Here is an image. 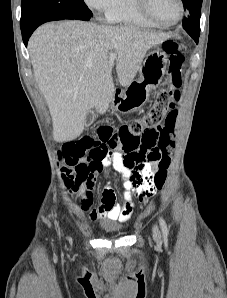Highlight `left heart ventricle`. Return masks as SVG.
<instances>
[{"instance_id": "left-heart-ventricle-1", "label": "left heart ventricle", "mask_w": 227, "mask_h": 298, "mask_svg": "<svg viewBox=\"0 0 227 298\" xmlns=\"http://www.w3.org/2000/svg\"><path fill=\"white\" fill-rule=\"evenodd\" d=\"M150 4L153 15L163 22H172L179 15L177 0H150Z\"/></svg>"}]
</instances>
